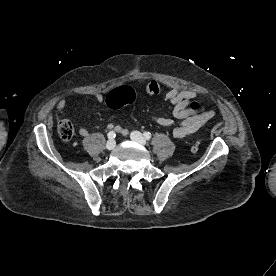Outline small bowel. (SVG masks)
Here are the masks:
<instances>
[{"mask_svg": "<svg viewBox=\"0 0 276 276\" xmlns=\"http://www.w3.org/2000/svg\"><path fill=\"white\" fill-rule=\"evenodd\" d=\"M154 89L153 92H148V89ZM145 91L149 95H157L162 91V88L156 82H149L145 86ZM91 98L102 103L104 97L99 93H93ZM197 100V94L191 90H184L179 87H171L164 93V101L168 103L172 109V117L153 115L152 122L163 127H171L177 122V125L172 129V136L177 139H183L196 133L201 127L209 122L215 115L214 111L207 109L204 105L199 111H195L189 107L192 101ZM67 105V101L62 99L57 105V110L62 113ZM109 130H114L127 134V130L122 129L115 123L108 124ZM79 134L82 137H87L89 131L86 128H80Z\"/></svg>", "mask_w": 276, "mask_h": 276, "instance_id": "small-bowel-1", "label": "small bowel"}]
</instances>
